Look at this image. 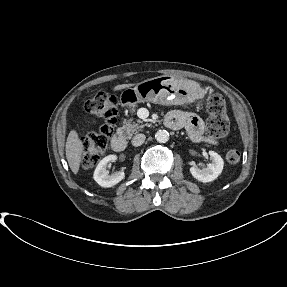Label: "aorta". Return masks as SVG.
<instances>
[{
  "label": "aorta",
  "mask_w": 287,
  "mask_h": 287,
  "mask_svg": "<svg viewBox=\"0 0 287 287\" xmlns=\"http://www.w3.org/2000/svg\"><path fill=\"white\" fill-rule=\"evenodd\" d=\"M155 139L159 143H166L169 140V133L166 130H159L155 134Z\"/></svg>",
  "instance_id": "aorta-1"
}]
</instances>
